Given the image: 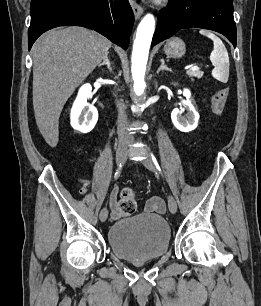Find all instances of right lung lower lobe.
Segmentation results:
<instances>
[{"mask_svg": "<svg viewBox=\"0 0 261 306\" xmlns=\"http://www.w3.org/2000/svg\"><path fill=\"white\" fill-rule=\"evenodd\" d=\"M28 47L45 31L58 26L93 29L128 48L134 14L128 0H31Z\"/></svg>", "mask_w": 261, "mask_h": 306, "instance_id": "1", "label": "right lung lower lobe"}]
</instances>
